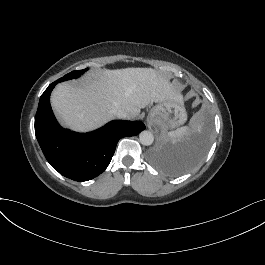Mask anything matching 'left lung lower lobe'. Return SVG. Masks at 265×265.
I'll return each mask as SVG.
<instances>
[{
  "instance_id": "1",
  "label": "left lung lower lobe",
  "mask_w": 265,
  "mask_h": 265,
  "mask_svg": "<svg viewBox=\"0 0 265 265\" xmlns=\"http://www.w3.org/2000/svg\"><path fill=\"white\" fill-rule=\"evenodd\" d=\"M211 127L205 120L188 139L167 142L149 153L150 162L169 175L178 176L194 168L204 157L210 142Z\"/></svg>"
}]
</instances>
